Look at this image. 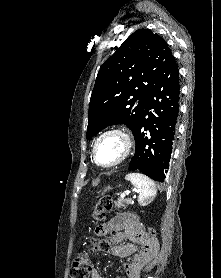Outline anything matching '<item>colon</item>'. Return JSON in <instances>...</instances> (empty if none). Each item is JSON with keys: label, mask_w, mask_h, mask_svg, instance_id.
<instances>
[{"label": "colon", "mask_w": 221, "mask_h": 278, "mask_svg": "<svg viewBox=\"0 0 221 278\" xmlns=\"http://www.w3.org/2000/svg\"><path fill=\"white\" fill-rule=\"evenodd\" d=\"M113 200L109 196H104L97 202L94 212L93 220L100 224H107V215L113 210ZM150 237L154 238L155 232L150 229ZM109 247V243L106 240H102L98 245H92L90 249L82 251L78 257H76L70 268V278H91V260L89 253L96 250H106Z\"/></svg>", "instance_id": "1"}]
</instances>
